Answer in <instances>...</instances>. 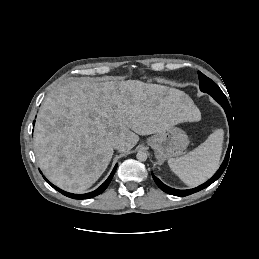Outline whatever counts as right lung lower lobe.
<instances>
[{
  "mask_svg": "<svg viewBox=\"0 0 259 259\" xmlns=\"http://www.w3.org/2000/svg\"><path fill=\"white\" fill-rule=\"evenodd\" d=\"M116 168H117V165H115V167H114L113 171L111 172L110 176L108 177V179L98 189H96L93 192L87 193V194H72V193H68V192H65V191L59 189L58 187L54 186L50 182H49V184L54 189H56L57 191H59L60 193H62L63 195H65L67 197H70V198H73V199H88V198H92L94 196L99 195L100 193H102L107 188V186L109 185L111 179L113 178V175H114V173L116 171ZM45 180L48 182V180L46 178H45Z\"/></svg>",
  "mask_w": 259,
  "mask_h": 259,
  "instance_id": "1",
  "label": "right lung lower lobe"
}]
</instances>
